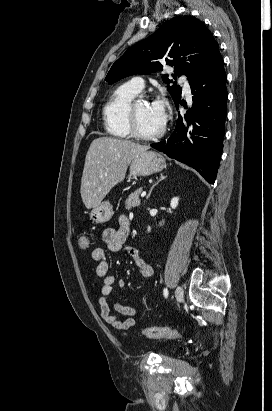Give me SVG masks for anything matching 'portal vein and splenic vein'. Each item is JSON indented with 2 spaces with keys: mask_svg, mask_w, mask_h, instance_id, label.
Masks as SVG:
<instances>
[{
  "mask_svg": "<svg viewBox=\"0 0 272 411\" xmlns=\"http://www.w3.org/2000/svg\"><path fill=\"white\" fill-rule=\"evenodd\" d=\"M145 195H146V192L143 191V192L141 193V197L143 198V197H145Z\"/></svg>",
  "mask_w": 272,
  "mask_h": 411,
  "instance_id": "18ae733b",
  "label": "portal vein and splenic vein"
}]
</instances>
